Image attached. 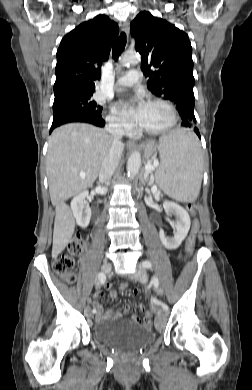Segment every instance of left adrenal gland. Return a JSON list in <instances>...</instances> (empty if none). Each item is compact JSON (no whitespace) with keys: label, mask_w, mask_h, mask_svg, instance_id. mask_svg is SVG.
<instances>
[{"label":"left adrenal gland","mask_w":252,"mask_h":390,"mask_svg":"<svg viewBox=\"0 0 252 390\" xmlns=\"http://www.w3.org/2000/svg\"><path fill=\"white\" fill-rule=\"evenodd\" d=\"M142 182H143V184H145V182H147V178L144 177V179H142ZM149 184H150V183H149Z\"/></svg>","instance_id":"left-adrenal-gland-1"}]
</instances>
